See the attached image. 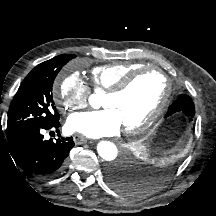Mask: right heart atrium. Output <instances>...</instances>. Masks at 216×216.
Wrapping results in <instances>:
<instances>
[{
  "instance_id": "d8ad5b80",
  "label": "right heart atrium",
  "mask_w": 216,
  "mask_h": 216,
  "mask_svg": "<svg viewBox=\"0 0 216 216\" xmlns=\"http://www.w3.org/2000/svg\"><path fill=\"white\" fill-rule=\"evenodd\" d=\"M89 96V86L76 73L66 76L53 93L54 101L62 112L86 107Z\"/></svg>"
}]
</instances>
